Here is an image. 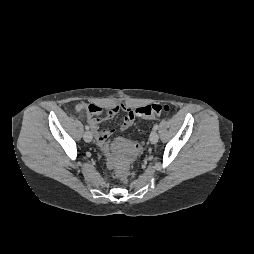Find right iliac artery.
I'll return each instance as SVG.
<instances>
[{
	"label": "right iliac artery",
	"mask_w": 254,
	"mask_h": 254,
	"mask_svg": "<svg viewBox=\"0 0 254 254\" xmlns=\"http://www.w3.org/2000/svg\"><path fill=\"white\" fill-rule=\"evenodd\" d=\"M85 129H86V130H89V129H90V127H89V126H85Z\"/></svg>",
	"instance_id": "right-iliac-artery-1"
}]
</instances>
